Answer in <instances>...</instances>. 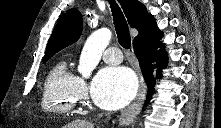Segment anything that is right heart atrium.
I'll return each mask as SVG.
<instances>
[{"mask_svg": "<svg viewBox=\"0 0 221 128\" xmlns=\"http://www.w3.org/2000/svg\"><path fill=\"white\" fill-rule=\"evenodd\" d=\"M75 90L76 94L79 99H85L87 95V84L86 81L80 77L77 76L76 84H75Z\"/></svg>", "mask_w": 221, "mask_h": 128, "instance_id": "1", "label": "right heart atrium"}]
</instances>
